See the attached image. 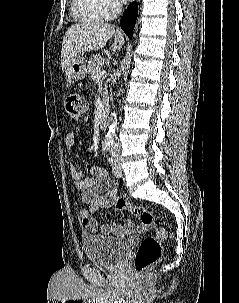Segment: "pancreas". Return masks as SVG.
<instances>
[{
  "label": "pancreas",
  "instance_id": "obj_1",
  "mask_svg": "<svg viewBox=\"0 0 239 303\" xmlns=\"http://www.w3.org/2000/svg\"><path fill=\"white\" fill-rule=\"evenodd\" d=\"M104 64V58L100 55H93L88 60L87 65V72L91 76V78L96 81L97 78V72L102 68ZM108 97V91H107V83L104 86V94H103V102L106 103Z\"/></svg>",
  "mask_w": 239,
  "mask_h": 303
}]
</instances>
